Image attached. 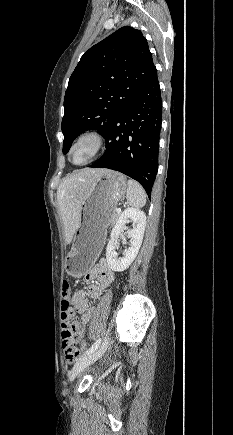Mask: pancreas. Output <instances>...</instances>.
<instances>
[{
  "label": "pancreas",
  "instance_id": "1",
  "mask_svg": "<svg viewBox=\"0 0 233 435\" xmlns=\"http://www.w3.org/2000/svg\"><path fill=\"white\" fill-rule=\"evenodd\" d=\"M118 217H119V213L115 211L114 214H113V216H112L111 223L116 222V220L118 219Z\"/></svg>",
  "mask_w": 233,
  "mask_h": 435
}]
</instances>
